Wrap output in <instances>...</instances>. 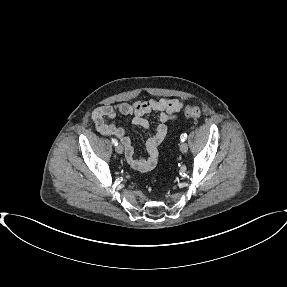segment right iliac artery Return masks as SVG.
I'll return each instance as SVG.
<instances>
[{
  "instance_id": "82829eb1",
  "label": "right iliac artery",
  "mask_w": 287,
  "mask_h": 287,
  "mask_svg": "<svg viewBox=\"0 0 287 287\" xmlns=\"http://www.w3.org/2000/svg\"><path fill=\"white\" fill-rule=\"evenodd\" d=\"M112 143L117 146L118 145V141L116 139H112Z\"/></svg>"
}]
</instances>
